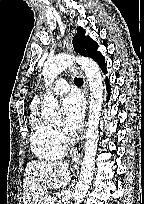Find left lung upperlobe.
Wrapping results in <instances>:
<instances>
[{
    "label": "left lung upper lobe",
    "mask_w": 144,
    "mask_h": 204,
    "mask_svg": "<svg viewBox=\"0 0 144 204\" xmlns=\"http://www.w3.org/2000/svg\"><path fill=\"white\" fill-rule=\"evenodd\" d=\"M77 31L78 33L74 36L72 41L76 53L91 57L94 60L103 57L100 52L97 51L98 44L89 36H85V31L81 27H78Z\"/></svg>",
    "instance_id": "obj_1"
}]
</instances>
